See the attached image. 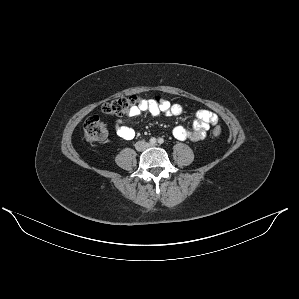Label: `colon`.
Wrapping results in <instances>:
<instances>
[{
    "label": "colon",
    "instance_id": "obj_1",
    "mask_svg": "<svg viewBox=\"0 0 299 299\" xmlns=\"http://www.w3.org/2000/svg\"><path fill=\"white\" fill-rule=\"evenodd\" d=\"M143 103L137 96L122 97L111 100L102 106V112L108 116H121L128 113L134 107ZM213 134L220 136L221 129L218 126L213 128ZM108 135L107 125L98 117H90L85 121L83 138L87 142H99L105 140Z\"/></svg>",
    "mask_w": 299,
    "mask_h": 299
}]
</instances>
